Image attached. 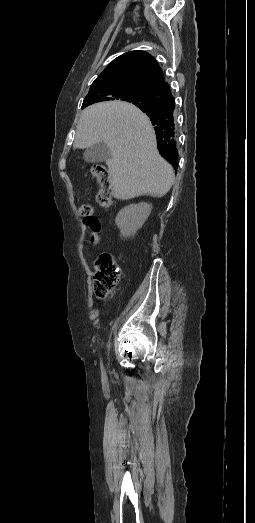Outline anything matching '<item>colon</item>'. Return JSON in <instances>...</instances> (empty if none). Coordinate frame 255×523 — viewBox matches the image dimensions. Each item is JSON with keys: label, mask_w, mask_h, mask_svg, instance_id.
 <instances>
[{"label": "colon", "mask_w": 255, "mask_h": 523, "mask_svg": "<svg viewBox=\"0 0 255 523\" xmlns=\"http://www.w3.org/2000/svg\"><path fill=\"white\" fill-rule=\"evenodd\" d=\"M91 173L99 184L97 202L104 208H110L113 205V195L109 171L102 165H95L91 168ZM79 213L85 223L94 219L93 207L90 204L81 205ZM94 267V292L98 298L105 299L112 293L120 278L117 262L110 253L102 252L97 257Z\"/></svg>", "instance_id": "colon-1"}]
</instances>
